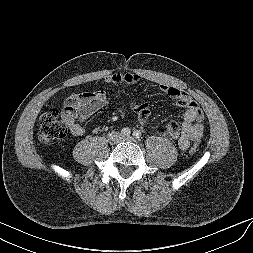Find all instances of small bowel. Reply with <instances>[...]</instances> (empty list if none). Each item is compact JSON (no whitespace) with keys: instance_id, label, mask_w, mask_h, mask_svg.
I'll return each mask as SVG.
<instances>
[{"instance_id":"c3829d8e","label":"small bowel","mask_w":253,"mask_h":253,"mask_svg":"<svg viewBox=\"0 0 253 253\" xmlns=\"http://www.w3.org/2000/svg\"><path fill=\"white\" fill-rule=\"evenodd\" d=\"M141 79L138 74L121 71L110 75L106 81L113 84L134 85L140 82ZM160 89L174 99L177 105L185 111L180 126L176 121H171L158 132L176 140L181 150H187L193 141H198L203 135V113L195 100L176 86L161 84ZM107 104L108 98L102 90L92 92L76 91L65 99L62 117L66 121L70 132L74 136H81L85 133L81 123L95 112L103 109ZM132 108L139 122L146 125L151 115L150 104L148 102H139L134 104Z\"/></svg>"}]
</instances>
